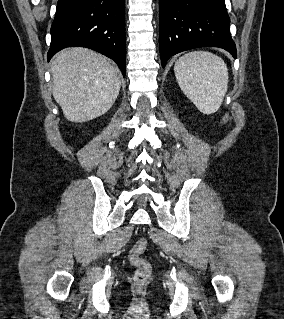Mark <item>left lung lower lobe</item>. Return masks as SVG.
Segmentation results:
<instances>
[{
    "instance_id": "obj_1",
    "label": "left lung lower lobe",
    "mask_w": 284,
    "mask_h": 319,
    "mask_svg": "<svg viewBox=\"0 0 284 319\" xmlns=\"http://www.w3.org/2000/svg\"><path fill=\"white\" fill-rule=\"evenodd\" d=\"M162 66L182 51L219 47L236 58L224 0H159Z\"/></svg>"
}]
</instances>
